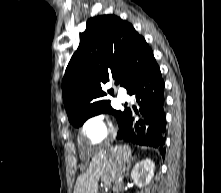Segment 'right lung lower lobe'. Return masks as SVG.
I'll use <instances>...</instances> for the list:
<instances>
[{
    "label": "right lung lower lobe",
    "mask_w": 221,
    "mask_h": 193,
    "mask_svg": "<svg viewBox=\"0 0 221 193\" xmlns=\"http://www.w3.org/2000/svg\"><path fill=\"white\" fill-rule=\"evenodd\" d=\"M164 81L156 61H152L131 82L128 93L135 95L140 113L126 109L118 138L139 145L159 148L165 156L166 119L164 113Z\"/></svg>",
    "instance_id": "right-lung-lower-lobe-1"
}]
</instances>
